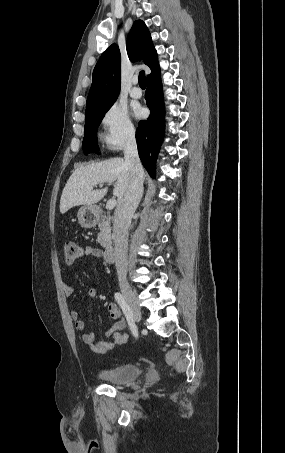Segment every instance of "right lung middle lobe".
<instances>
[{
	"label": "right lung middle lobe",
	"instance_id": "1",
	"mask_svg": "<svg viewBox=\"0 0 285 453\" xmlns=\"http://www.w3.org/2000/svg\"><path fill=\"white\" fill-rule=\"evenodd\" d=\"M113 104V103H112ZM112 104L85 114V135L82 143L83 152L87 155L89 153H97V127L103 119L105 113L112 106Z\"/></svg>",
	"mask_w": 285,
	"mask_h": 453
}]
</instances>
